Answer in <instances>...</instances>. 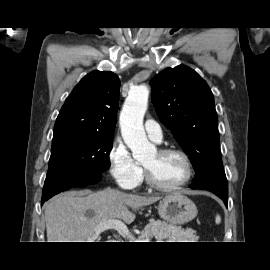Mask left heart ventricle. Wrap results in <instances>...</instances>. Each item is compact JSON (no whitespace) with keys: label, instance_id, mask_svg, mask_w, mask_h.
<instances>
[{"label":"left heart ventricle","instance_id":"left-heart-ventricle-1","mask_svg":"<svg viewBox=\"0 0 270 270\" xmlns=\"http://www.w3.org/2000/svg\"><path fill=\"white\" fill-rule=\"evenodd\" d=\"M143 165L149 170L152 178L161 185H174L185 176L183 160L176 154H159L155 151Z\"/></svg>","mask_w":270,"mask_h":270}]
</instances>
